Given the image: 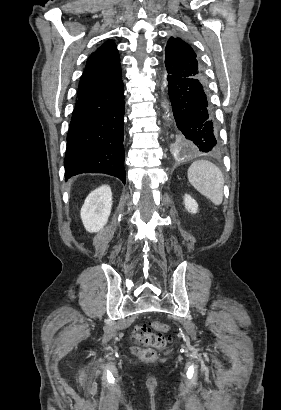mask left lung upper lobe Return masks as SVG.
<instances>
[{"mask_svg":"<svg viewBox=\"0 0 281 410\" xmlns=\"http://www.w3.org/2000/svg\"><path fill=\"white\" fill-rule=\"evenodd\" d=\"M165 72L167 75L204 80V72L194 50L178 37H170L167 42Z\"/></svg>","mask_w":281,"mask_h":410,"instance_id":"obj_1","label":"left lung upper lobe"}]
</instances>
